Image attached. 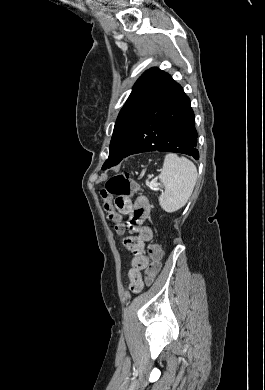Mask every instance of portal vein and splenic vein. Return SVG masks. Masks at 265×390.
Returning <instances> with one entry per match:
<instances>
[{
    "mask_svg": "<svg viewBox=\"0 0 265 390\" xmlns=\"http://www.w3.org/2000/svg\"><path fill=\"white\" fill-rule=\"evenodd\" d=\"M157 186H158V184H157V183H155V182H152V188L156 189V188H157Z\"/></svg>",
    "mask_w": 265,
    "mask_h": 390,
    "instance_id": "18ae733b",
    "label": "portal vein and splenic vein"
}]
</instances>
